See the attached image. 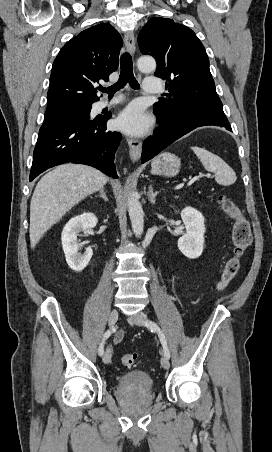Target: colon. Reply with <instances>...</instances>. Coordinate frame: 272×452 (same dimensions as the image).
I'll use <instances>...</instances> for the list:
<instances>
[{
  "label": "colon",
  "mask_w": 272,
  "mask_h": 452,
  "mask_svg": "<svg viewBox=\"0 0 272 452\" xmlns=\"http://www.w3.org/2000/svg\"><path fill=\"white\" fill-rule=\"evenodd\" d=\"M218 202L223 212L233 220V253L227 260L220 280L216 285V291L222 292L231 284L241 268L242 258L251 244V231L247 218L231 199L220 195ZM121 362L126 367H133L137 364V355L123 354L121 356Z\"/></svg>",
  "instance_id": "obj_1"
}]
</instances>
